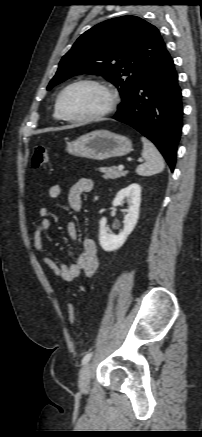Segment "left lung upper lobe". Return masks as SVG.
<instances>
[{"mask_svg":"<svg viewBox=\"0 0 202 437\" xmlns=\"http://www.w3.org/2000/svg\"><path fill=\"white\" fill-rule=\"evenodd\" d=\"M166 53V45L154 25L136 16L113 18L77 39L63 56L47 89L74 75H101L118 88L121 106Z\"/></svg>","mask_w":202,"mask_h":437,"instance_id":"obj_1","label":"left lung upper lobe"}]
</instances>
